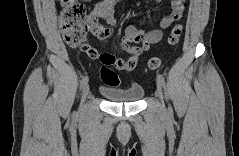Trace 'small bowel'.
<instances>
[{
	"mask_svg": "<svg viewBox=\"0 0 239 156\" xmlns=\"http://www.w3.org/2000/svg\"><path fill=\"white\" fill-rule=\"evenodd\" d=\"M119 5L118 0L98 1L91 13L90 23L92 33L100 40L110 42L112 40V31L109 27L98 23V18H103L109 26L117 24L116 10ZM182 0H173L171 2V12L162 18L159 28L143 29L134 24L125 28V35L120 42L122 48L128 57L116 58L113 54L99 53L93 48V52H84L89 57L98 59L104 66H114L121 71H132L139 61L140 55L147 51L149 46L158 43L163 37V30L169 28L175 21H178L184 11ZM131 43H136L132 46Z\"/></svg>",
	"mask_w": 239,
	"mask_h": 156,
	"instance_id": "c3829d8e",
	"label": "small bowel"
}]
</instances>
